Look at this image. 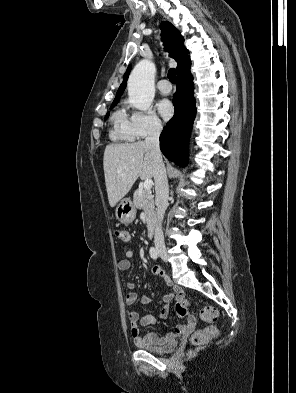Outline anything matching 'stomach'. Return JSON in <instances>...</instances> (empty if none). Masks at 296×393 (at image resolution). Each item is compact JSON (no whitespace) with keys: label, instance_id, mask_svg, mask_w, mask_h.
I'll list each match as a JSON object with an SVG mask.
<instances>
[{"label":"stomach","instance_id":"stomach-1","mask_svg":"<svg viewBox=\"0 0 296 393\" xmlns=\"http://www.w3.org/2000/svg\"><path fill=\"white\" fill-rule=\"evenodd\" d=\"M116 218L124 224L131 223L136 217V207L128 198L122 199L116 207Z\"/></svg>","mask_w":296,"mask_h":393}]
</instances>
